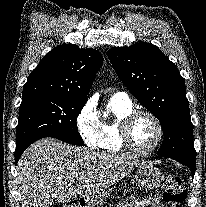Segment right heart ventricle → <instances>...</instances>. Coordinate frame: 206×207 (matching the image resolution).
Segmentation results:
<instances>
[{"instance_id":"right-heart-ventricle-1","label":"right heart ventricle","mask_w":206,"mask_h":207,"mask_svg":"<svg viewBox=\"0 0 206 207\" xmlns=\"http://www.w3.org/2000/svg\"><path fill=\"white\" fill-rule=\"evenodd\" d=\"M107 110L112 114L113 119L100 122L101 143L99 148L109 153H121L123 149L119 141V126L122 120L134 111V106L131 101H123L112 96Z\"/></svg>"}]
</instances>
